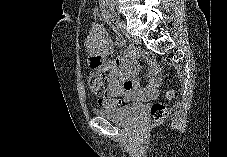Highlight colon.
I'll return each instance as SVG.
<instances>
[{"label":"colon","instance_id":"5ec220e1","mask_svg":"<svg viewBox=\"0 0 227 157\" xmlns=\"http://www.w3.org/2000/svg\"><path fill=\"white\" fill-rule=\"evenodd\" d=\"M87 82L89 87L98 95H101L104 91V77L98 73H90L87 77ZM176 95V90L174 88H169L165 92L166 100H173ZM100 104L104 107H114L119 104L117 100H110L101 98ZM169 114V108L162 103H153L150 108V115L154 122H160L164 120Z\"/></svg>","mask_w":227,"mask_h":157}]
</instances>
